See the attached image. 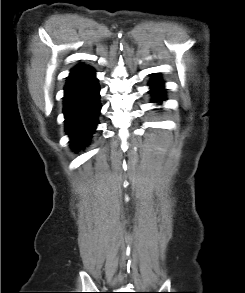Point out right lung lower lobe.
<instances>
[{
  "label": "right lung lower lobe",
  "mask_w": 245,
  "mask_h": 293,
  "mask_svg": "<svg viewBox=\"0 0 245 293\" xmlns=\"http://www.w3.org/2000/svg\"><path fill=\"white\" fill-rule=\"evenodd\" d=\"M64 90L65 130L73 149L79 151L88 145L101 109L94 70L89 68L68 78Z\"/></svg>",
  "instance_id": "1"
}]
</instances>
